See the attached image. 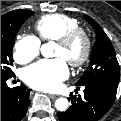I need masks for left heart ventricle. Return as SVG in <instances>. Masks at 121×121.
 <instances>
[{
	"label": "left heart ventricle",
	"instance_id": "1",
	"mask_svg": "<svg viewBox=\"0 0 121 121\" xmlns=\"http://www.w3.org/2000/svg\"><path fill=\"white\" fill-rule=\"evenodd\" d=\"M83 48H84V43L81 39H77L68 48H65L57 44L54 56L62 57L68 61L69 59L78 58L82 54Z\"/></svg>",
	"mask_w": 121,
	"mask_h": 121
}]
</instances>
